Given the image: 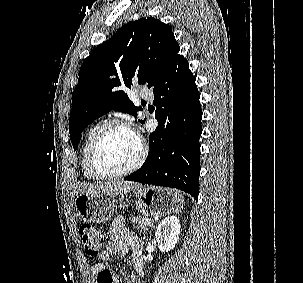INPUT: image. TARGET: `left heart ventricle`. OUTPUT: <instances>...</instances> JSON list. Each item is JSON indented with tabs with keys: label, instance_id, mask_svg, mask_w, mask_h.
Returning <instances> with one entry per match:
<instances>
[{
	"label": "left heart ventricle",
	"instance_id": "left-heart-ventricle-1",
	"mask_svg": "<svg viewBox=\"0 0 303 283\" xmlns=\"http://www.w3.org/2000/svg\"><path fill=\"white\" fill-rule=\"evenodd\" d=\"M139 152L136 134L124 127L113 126L107 130L98 149V161L108 172H118L128 168Z\"/></svg>",
	"mask_w": 303,
	"mask_h": 283
}]
</instances>
